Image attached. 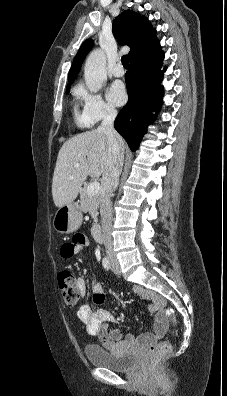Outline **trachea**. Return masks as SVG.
<instances>
[{
  "instance_id": "3493384b",
  "label": "trachea",
  "mask_w": 227,
  "mask_h": 396,
  "mask_svg": "<svg viewBox=\"0 0 227 396\" xmlns=\"http://www.w3.org/2000/svg\"><path fill=\"white\" fill-rule=\"evenodd\" d=\"M121 62H122V65H123L125 68H128V67H129V57H128V55H124V56L122 57V59H121Z\"/></svg>"
}]
</instances>
